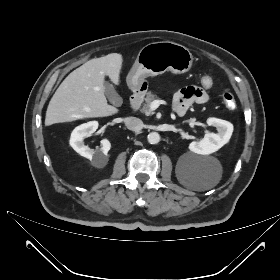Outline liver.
<instances>
[{
    "mask_svg": "<svg viewBox=\"0 0 280 280\" xmlns=\"http://www.w3.org/2000/svg\"><path fill=\"white\" fill-rule=\"evenodd\" d=\"M122 62L121 54L111 53L91 59L71 72L49 102L45 125L118 113L117 108L107 103L104 84L105 76L119 84Z\"/></svg>",
    "mask_w": 280,
    "mask_h": 280,
    "instance_id": "liver-1",
    "label": "liver"
}]
</instances>
